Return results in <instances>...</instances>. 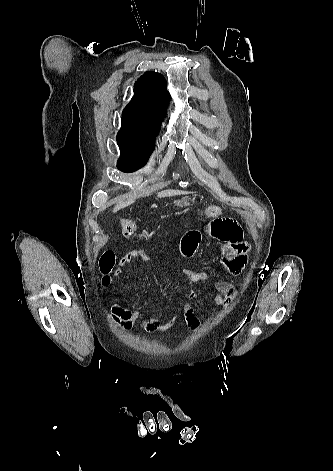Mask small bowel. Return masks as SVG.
Returning a JSON list of instances; mask_svg holds the SVG:
<instances>
[{
	"instance_id": "obj_1",
	"label": "small bowel",
	"mask_w": 333,
	"mask_h": 471,
	"mask_svg": "<svg viewBox=\"0 0 333 471\" xmlns=\"http://www.w3.org/2000/svg\"><path fill=\"white\" fill-rule=\"evenodd\" d=\"M204 234L222 243L224 251L222 268L226 274L235 276L243 272L249 261L250 245L243 239V231L237 219L223 216L212 217V221L204 230H193L187 233L181 241V250L185 256H192L196 252ZM136 258L144 262L149 260L146 251L132 249L121 257L119 267L115 270L114 275L120 276L122 274L121 267ZM182 273L191 285L207 282L211 277L210 273L206 271L183 269ZM213 286L216 293L213 295L212 301L217 305L230 306L237 296V287L223 280L214 282ZM189 298L190 300L197 298V293L193 288L190 290ZM180 318L193 330L201 327V321L190 304L185 305L182 311L167 321H161L157 316L146 318L141 312L125 308L116 301H113L111 305V319L122 330H129L135 323H139L140 327L149 333L167 332L176 325Z\"/></svg>"
}]
</instances>
